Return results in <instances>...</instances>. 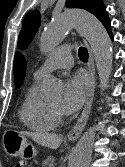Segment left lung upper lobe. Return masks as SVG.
Instances as JSON below:
<instances>
[{"instance_id": "left-lung-upper-lobe-1", "label": "left lung upper lobe", "mask_w": 125, "mask_h": 167, "mask_svg": "<svg viewBox=\"0 0 125 167\" xmlns=\"http://www.w3.org/2000/svg\"><path fill=\"white\" fill-rule=\"evenodd\" d=\"M66 7L81 8L95 15L102 24L110 22L106 8L102 0H66ZM40 26V13L38 11L29 12L23 20V28L18 37V46L25 48Z\"/></svg>"}]
</instances>
